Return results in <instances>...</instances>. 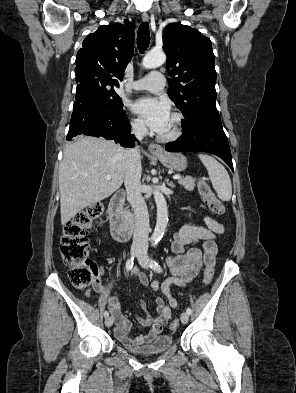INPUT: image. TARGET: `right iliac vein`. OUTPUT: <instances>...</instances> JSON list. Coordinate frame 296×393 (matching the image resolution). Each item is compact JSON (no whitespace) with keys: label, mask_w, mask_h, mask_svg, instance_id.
<instances>
[{"label":"right iliac vein","mask_w":296,"mask_h":393,"mask_svg":"<svg viewBox=\"0 0 296 393\" xmlns=\"http://www.w3.org/2000/svg\"><path fill=\"white\" fill-rule=\"evenodd\" d=\"M140 251H141V249H140L139 247H133V248L131 249V255H132V256H135V255H137ZM112 324H113V318H112V317H107V318L105 319V325H106V327H111Z\"/></svg>","instance_id":"1"}]
</instances>
